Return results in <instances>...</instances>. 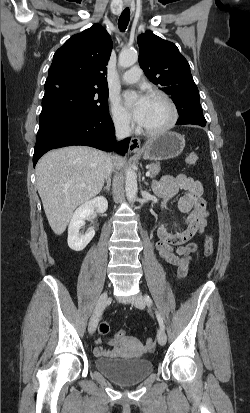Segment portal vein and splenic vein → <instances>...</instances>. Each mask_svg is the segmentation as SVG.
Listing matches in <instances>:
<instances>
[{"instance_id": "18ae733b", "label": "portal vein and splenic vein", "mask_w": 250, "mask_h": 413, "mask_svg": "<svg viewBox=\"0 0 250 413\" xmlns=\"http://www.w3.org/2000/svg\"><path fill=\"white\" fill-rule=\"evenodd\" d=\"M151 175V173H150V171H148L147 173H146V176H150Z\"/></svg>"}]
</instances>
